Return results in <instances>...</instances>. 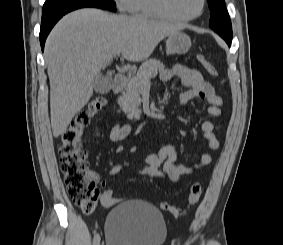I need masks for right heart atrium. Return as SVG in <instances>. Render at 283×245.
Here are the masks:
<instances>
[{
  "label": "right heart atrium",
  "mask_w": 283,
  "mask_h": 245,
  "mask_svg": "<svg viewBox=\"0 0 283 245\" xmlns=\"http://www.w3.org/2000/svg\"><path fill=\"white\" fill-rule=\"evenodd\" d=\"M120 11H127L129 8L130 0H114Z\"/></svg>",
  "instance_id": "d8ad5b80"
}]
</instances>
